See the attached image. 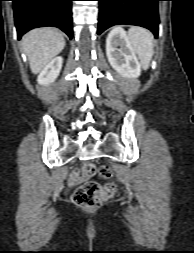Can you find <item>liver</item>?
Here are the masks:
<instances>
[{
	"label": "liver",
	"instance_id": "1",
	"mask_svg": "<svg viewBox=\"0 0 194 253\" xmlns=\"http://www.w3.org/2000/svg\"><path fill=\"white\" fill-rule=\"evenodd\" d=\"M65 47L61 31L51 27L37 28L29 31L22 40L32 73H39Z\"/></svg>",
	"mask_w": 194,
	"mask_h": 253
}]
</instances>
